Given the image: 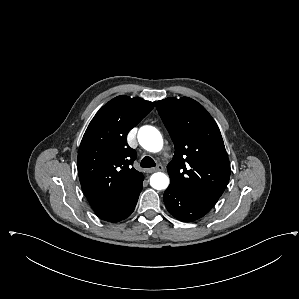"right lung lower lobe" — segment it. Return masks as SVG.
Segmentation results:
<instances>
[{"mask_svg":"<svg viewBox=\"0 0 299 299\" xmlns=\"http://www.w3.org/2000/svg\"><path fill=\"white\" fill-rule=\"evenodd\" d=\"M143 179L124 199H122L118 204H116L109 211L105 212L102 215H99V217L105 221L119 222L121 220H124L128 216H130L136 206L138 197L143 188L142 185Z\"/></svg>","mask_w":299,"mask_h":299,"instance_id":"1","label":"right lung lower lobe"}]
</instances>
